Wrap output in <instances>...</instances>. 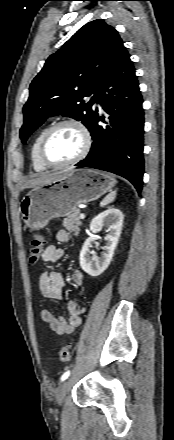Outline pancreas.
<instances>
[{
	"label": "pancreas",
	"instance_id": "pancreas-1",
	"mask_svg": "<svg viewBox=\"0 0 174 440\" xmlns=\"http://www.w3.org/2000/svg\"><path fill=\"white\" fill-rule=\"evenodd\" d=\"M80 211L75 210L72 214L68 215L63 220V226L71 233H74L75 236H78L80 233V227L82 222L79 218Z\"/></svg>",
	"mask_w": 174,
	"mask_h": 440
}]
</instances>
